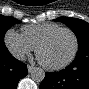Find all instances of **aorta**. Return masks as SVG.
Listing matches in <instances>:
<instances>
[{
    "label": "aorta",
    "instance_id": "aorta-1",
    "mask_svg": "<svg viewBox=\"0 0 89 89\" xmlns=\"http://www.w3.org/2000/svg\"><path fill=\"white\" fill-rule=\"evenodd\" d=\"M30 77L34 82L40 83L45 78V72L42 68L34 67L30 71Z\"/></svg>",
    "mask_w": 89,
    "mask_h": 89
}]
</instances>
